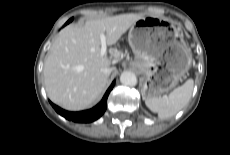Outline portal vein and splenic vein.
<instances>
[{
  "label": "portal vein and splenic vein",
  "mask_w": 230,
  "mask_h": 155,
  "mask_svg": "<svg viewBox=\"0 0 230 155\" xmlns=\"http://www.w3.org/2000/svg\"><path fill=\"white\" fill-rule=\"evenodd\" d=\"M100 41H101L100 55L104 56L107 52L106 37L104 34L100 36Z\"/></svg>",
  "instance_id": "obj_1"
}]
</instances>
